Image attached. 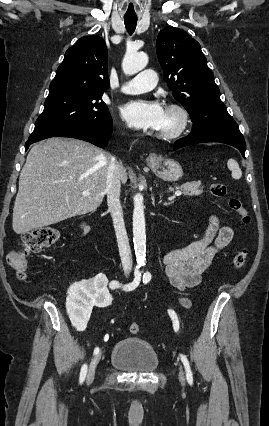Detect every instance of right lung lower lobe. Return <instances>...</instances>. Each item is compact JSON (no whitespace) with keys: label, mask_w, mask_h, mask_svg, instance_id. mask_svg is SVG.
I'll list each match as a JSON object with an SVG mask.
<instances>
[{"label":"right lung lower lobe","mask_w":269,"mask_h":426,"mask_svg":"<svg viewBox=\"0 0 269 426\" xmlns=\"http://www.w3.org/2000/svg\"><path fill=\"white\" fill-rule=\"evenodd\" d=\"M112 118L104 122L99 123H84L78 124L68 129L53 131L44 135H41L35 139H28L25 144V150L29 148L32 143L50 137H71L77 138L84 141H88L98 147H105L112 133L113 125Z\"/></svg>","instance_id":"98d812e1"}]
</instances>
